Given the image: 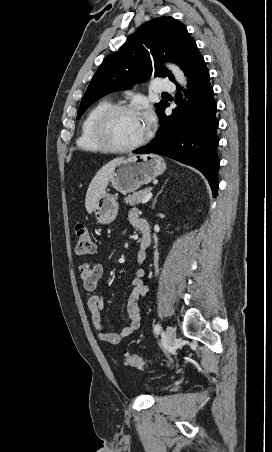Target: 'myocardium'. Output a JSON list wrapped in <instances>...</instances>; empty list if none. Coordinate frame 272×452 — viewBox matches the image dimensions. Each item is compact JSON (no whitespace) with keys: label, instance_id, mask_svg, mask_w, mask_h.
Wrapping results in <instances>:
<instances>
[{"label":"myocardium","instance_id":"1","mask_svg":"<svg viewBox=\"0 0 272 452\" xmlns=\"http://www.w3.org/2000/svg\"><path fill=\"white\" fill-rule=\"evenodd\" d=\"M139 113L137 107L126 104H112L103 109L95 119L94 133L102 146L113 152H127L139 148L144 145L150 137V129L136 142L124 145L115 142L111 136V122L112 119L120 113Z\"/></svg>","mask_w":272,"mask_h":452}]
</instances>
